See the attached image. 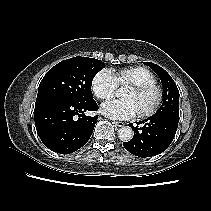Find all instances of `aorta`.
Here are the masks:
<instances>
[{
    "instance_id": "obj_1",
    "label": "aorta",
    "mask_w": 211,
    "mask_h": 211,
    "mask_svg": "<svg viewBox=\"0 0 211 211\" xmlns=\"http://www.w3.org/2000/svg\"><path fill=\"white\" fill-rule=\"evenodd\" d=\"M133 135V130L128 126L122 127L118 130V137L123 142L130 141L133 138Z\"/></svg>"
}]
</instances>
